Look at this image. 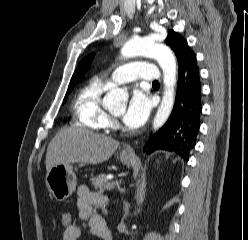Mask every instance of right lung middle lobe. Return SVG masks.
<instances>
[{
    "label": "right lung middle lobe",
    "instance_id": "obj_1",
    "mask_svg": "<svg viewBox=\"0 0 248 240\" xmlns=\"http://www.w3.org/2000/svg\"><path fill=\"white\" fill-rule=\"evenodd\" d=\"M76 84H77V82H70L68 90H67V93H66V96H65L64 99L67 98L68 94L73 90V88L75 87Z\"/></svg>",
    "mask_w": 248,
    "mask_h": 240
}]
</instances>
